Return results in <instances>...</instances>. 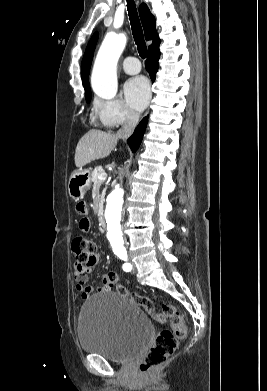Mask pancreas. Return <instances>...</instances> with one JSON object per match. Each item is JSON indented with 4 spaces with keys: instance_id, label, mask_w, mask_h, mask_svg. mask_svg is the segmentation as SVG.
I'll use <instances>...</instances> for the list:
<instances>
[{
    "instance_id": "1",
    "label": "pancreas",
    "mask_w": 267,
    "mask_h": 391,
    "mask_svg": "<svg viewBox=\"0 0 267 391\" xmlns=\"http://www.w3.org/2000/svg\"><path fill=\"white\" fill-rule=\"evenodd\" d=\"M105 173L103 168L101 166H98L96 167L92 173H91V179H92V182L96 185V186H100L102 183H103V180H100L98 177Z\"/></svg>"
}]
</instances>
